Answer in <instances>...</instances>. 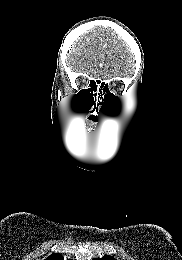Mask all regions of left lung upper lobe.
<instances>
[{
	"mask_svg": "<svg viewBox=\"0 0 182 260\" xmlns=\"http://www.w3.org/2000/svg\"><path fill=\"white\" fill-rule=\"evenodd\" d=\"M94 260H114V257H112L110 255H106L102 258H95Z\"/></svg>",
	"mask_w": 182,
	"mask_h": 260,
	"instance_id": "5c2ea615",
	"label": "left lung upper lobe"
}]
</instances>
